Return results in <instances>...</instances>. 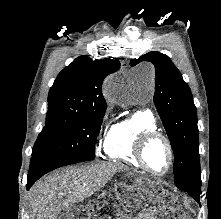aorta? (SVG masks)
Wrapping results in <instances>:
<instances>
[{"label": "aorta", "instance_id": "762f6f07", "mask_svg": "<svg viewBox=\"0 0 221 219\" xmlns=\"http://www.w3.org/2000/svg\"><path fill=\"white\" fill-rule=\"evenodd\" d=\"M136 76L139 80L151 86L153 84L154 71L150 67H141L136 71ZM107 92L110 95L117 96L120 95V90L118 88L109 89L107 88Z\"/></svg>", "mask_w": 221, "mask_h": 219}]
</instances>
